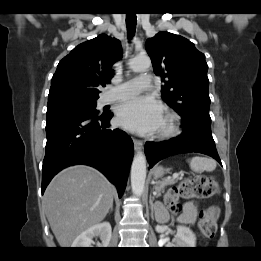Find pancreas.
Returning <instances> with one entry per match:
<instances>
[{"instance_id": "cf45deb5", "label": "pancreas", "mask_w": 261, "mask_h": 261, "mask_svg": "<svg viewBox=\"0 0 261 261\" xmlns=\"http://www.w3.org/2000/svg\"><path fill=\"white\" fill-rule=\"evenodd\" d=\"M174 182H175L174 180H164L162 182H158L154 186L155 196L159 197L161 195V193L164 192L165 186L168 185V184H173Z\"/></svg>"}]
</instances>
